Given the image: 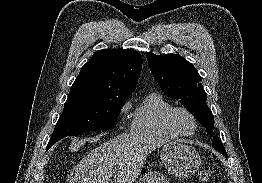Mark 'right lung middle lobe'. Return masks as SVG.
Segmentation results:
<instances>
[{
    "label": "right lung middle lobe",
    "instance_id": "dd1d6c3e",
    "mask_svg": "<svg viewBox=\"0 0 262 183\" xmlns=\"http://www.w3.org/2000/svg\"><path fill=\"white\" fill-rule=\"evenodd\" d=\"M126 100L85 94L69 95L48 145L66 136L112 128Z\"/></svg>",
    "mask_w": 262,
    "mask_h": 183
}]
</instances>
